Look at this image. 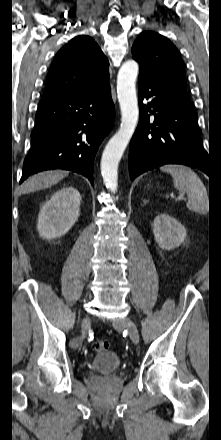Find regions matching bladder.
Masks as SVG:
<instances>
[{"instance_id": "31cf9c89", "label": "bladder", "mask_w": 221, "mask_h": 440, "mask_svg": "<svg viewBox=\"0 0 221 440\" xmlns=\"http://www.w3.org/2000/svg\"><path fill=\"white\" fill-rule=\"evenodd\" d=\"M122 366L120 357L111 351H102L91 360L90 367L98 373H111Z\"/></svg>"}]
</instances>
